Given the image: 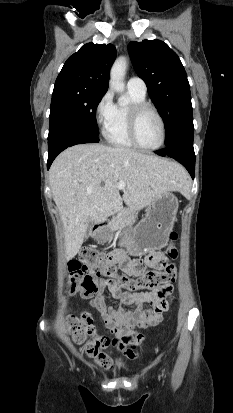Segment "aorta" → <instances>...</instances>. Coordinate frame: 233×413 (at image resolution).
<instances>
[{"mask_svg":"<svg viewBox=\"0 0 233 413\" xmlns=\"http://www.w3.org/2000/svg\"><path fill=\"white\" fill-rule=\"evenodd\" d=\"M127 69V60L125 57H119L116 59L110 70V87L119 93H122L125 89L124 77Z\"/></svg>","mask_w":233,"mask_h":413,"instance_id":"1","label":"aorta"}]
</instances>
